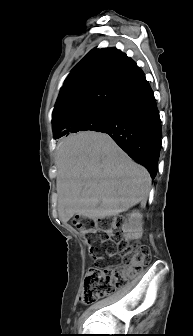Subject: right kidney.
Returning a JSON list of instances; mask_svg holds the SVG:
<instances>
[{
	"label": "right kidney",
	"instance_id": "obj_1",
	"mask_svg": "<svg viewBox=\"0 0 193 336\" xmlns=\"http://www.w3.org/2000/svg\"><path fill=\"white\" fill-rule=\"evenodd\" d=\"M143 215L139 211L128 214V218L122 225L125 239H140L143 234Z\"/></svg>",
	"mask_w": 193,
	"mask_h": 336
}]
</instances>
